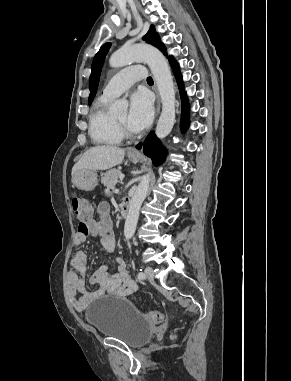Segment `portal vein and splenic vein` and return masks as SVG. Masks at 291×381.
Wrapping results in <instances>:
<instances>
[{
    "label": "portal vein and splenic vein",
    "instance_id": "obj_1",
    "mask_svg": "<svg viewBox=\"0 0 291 381\" xmlns=\"http://www.w3.org/2000/svg\"><path fill=\"white\" fill-rule=\"evenodd\" d=\"M124 175L123 174H120L119 178H120V183H122L123 179H124Z\"/></svg>",
    "mask_w": 291,
    "mask_h": 381
}]
</instances>
